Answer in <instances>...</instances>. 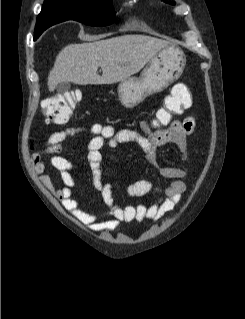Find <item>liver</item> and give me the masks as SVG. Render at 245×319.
I'll list each match as a JSON object with an SVG mask.
<instances>
[{
  "mask_svg": "<svg viewBox=\"0 0 245 319\" xmlns=\"http://www.w3.org/2000/svg\"><path fill=\"white\" fill-rule=\"evenodd\" d=\"M168 41L131 34L101 41L70 44L56 56L48 76V89L59 83L102 85L123 81L138 73ZM102 69V76L97 73Z\"/></svg>",
  "mask_w": 245,
  "mask_h": 319,
  "instance_id": "1",
  "label": "liver"
}]
</instances>
